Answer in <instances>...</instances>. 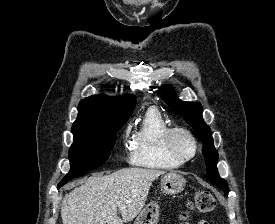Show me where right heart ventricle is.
<instances>
[{"mask_svg":"<svg viewBox=\"0 0 275 224\" xmlns=\"http://www.w3.org/2000/svg\"><path fill=\"white\" fill-rule=\"evenodd\" d=\"M169 128V124L158 110L148 109L133 132L129 152L130 162L148 169L179 168L182 162L170 155L165 147L164 138Z\"/></svg>","mask_w":275,"mask_h":224,"instance_id":"e07e8e85","label":"right heart ventricle"}]
</instances>
